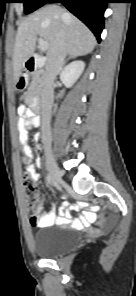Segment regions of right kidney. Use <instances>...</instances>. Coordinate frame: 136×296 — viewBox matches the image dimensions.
Segmentation results:
<instances>
[{
	"instance_id": "right-kidney-1",
	"label": "right kidney",
	"mask_w": 136,
	"mask_h": 296,
	"mask_svg": "<svg viewBox=\"0 0 136 296\" xmlns=\"http://www.w3.org/2000/svg\"><path fill=\"white\" fill-rule=\"evenodd\" d=\"M85 68V63L83 61H74L66 66L60 74V79L62 83L70 88L81 76Z\"/></svg>"
}]
</instances>
